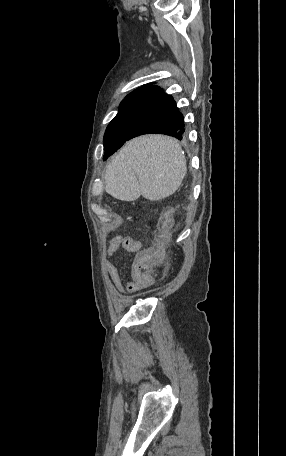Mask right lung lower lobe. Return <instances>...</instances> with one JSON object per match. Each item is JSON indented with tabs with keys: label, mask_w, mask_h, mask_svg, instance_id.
<instances>
[{
	"label": "right lung lower lobe",
	"mask_w": 286,
	"mask_h": 456,
	"mask_svg": "<svg viewBox=\"0 0 286 456\" xmlns=\"http://www.w3.org/2000/svg\"><path fill=\"white\" fill-rule=\"evenodd\" d=\"M127 140L147 133H161L179 140L185 136V123L172 96L149 85L130 93L123 101ZM123 145V144H122Z\"/></svg>",
	"instance_id": "right-lung-lower-lobe-1"
}]
</instances>
